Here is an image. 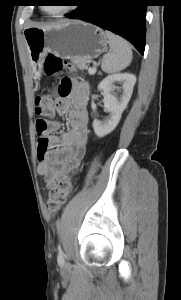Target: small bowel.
<instances>
[{"instance_id": "1", "label": "small bowel", "mask_w": 181, "mask_h": 300, "mask_svg": "<svg viewBox=\"0 0 181 300\" xmlns=\"http://www.w3.org/2000/svg\"><path fill=\"white\" fill-rule=\"evenodd\" d=\"M55 111L65 115L69 129L58 135L61 123L48 121V131L37 143L38 173L53 189L62 177L75 172L85 156L88 143V87L71 77L62 78L56 87Z\"/></svg>"}]
</instances>
